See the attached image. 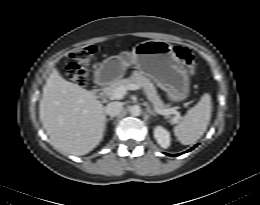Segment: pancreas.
<instances>
[{"mask_svg":"<svg viewBox=\"0 0 260 205\" xmlns=\"http://www.w3.org/2000/svg\"><path fill=\"white\" fill-rule=\"evenodd\" d=\"M129 84L140 85L155 108L160 110L168 109V105H165L160 99V96L151 80L139 71H133L131 76L128 78L118 79L112 82L108 87L103 89V92L109 99H114L113 96L115 90L121 86H127Z\"/></svg>","mask_w":260,"mask_h":205,"instance_id":"pancreas-1","label":"pancreas"}]
</instances>
